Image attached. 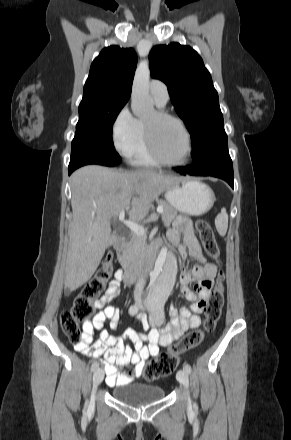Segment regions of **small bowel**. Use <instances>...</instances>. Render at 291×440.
<instances>
[{
  "mask_svg": "<svg viewBox=\"0 0 291 440\" xmlns=\"http://www.w3.org/2000/svg\"><path fill=\"white\" fill-rule=\"evenodd\" d=\"M167 238L170 245L174 248L179 247L183 255L186 254L185 248H187L189 254L198 262L191 272L182 271L180 274V292L189 302H192V305L190 308L182 307L180 310L170 306L171 325L161 330L152 328L145 336L133 329H128L122 337L115 338L103 329L100 338L93 341L94 330L102 329L106 321L109 322L111 330L115 331L119 327V312L109 304L118 296V289L123 278L122 271H117L105 294L95 302L98 308L97 314L92 321L88 320L83 324L82 342L74 346L76 351L94 358L104 355L103 365L106 371V383L109 386H121L130 382L132 374L123 370L129 364L134 365V375L140 376L148 361L159 355L161 347L173 343L183 335L185 330L198 328L201 324L198 314L204 310L209 297L206 283L208 279L216 275L217 267L202 251L196 240L193 226L186 218H179L175 221L173 227L167 232ZM159 246L160 243H157L155 248ZM192 281H195L194 292L187 287ZM137 319L144 326L147 325L144 314H138ZM143 340L147 344L144 345Z\"/></svg>",
  "mask_w": 291,
  "mask_h": 440,
  "instance_id": "obj_1",
  "label": "small bowel"
}]
</instances>
